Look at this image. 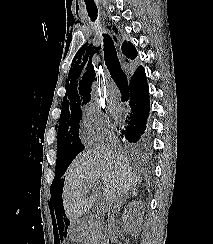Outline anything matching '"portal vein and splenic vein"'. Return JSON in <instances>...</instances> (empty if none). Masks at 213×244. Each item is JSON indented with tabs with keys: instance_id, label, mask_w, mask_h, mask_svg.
<instances>
[{
	"instance_id": "portal-vein-and-splenic-vein-1",
	"label": "portal vein and splenic vein",
	"mask_w": 213,
	"mask_h": 244,
	"mask_svg": "<svg viewBox=\"0 0 213 244\" xmlns=\"http://www.w3.org/2000/svg\"><path fill=\"white\" fill-rule=\"evenodd\" d=\"M98 185V183H95L93 186H94V188H96V189H98L96 186Z\"/></svg>"
}]
</instances>
